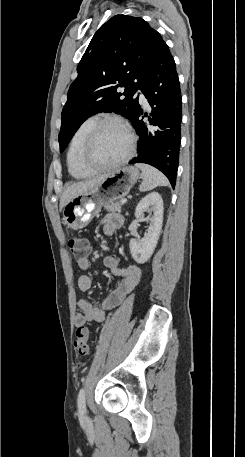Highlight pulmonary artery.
I'll use <instances>...</instances> for the list:
<instances>
[{"mask_svg": "<svg viewBox=\"0 0 245 457\" xmlns=\"http://www.w3.org/2000/svg\"><path fill=\"white\" fill-rule=\"evenodd\" d=\"M133 95L137 102L143 103V108H148V103H145L146 96L142 89H135Z\"/></svg>", "mask_w": 245, "mask_h": 457, "instance_id": "e3ab8cb5", "label": "pulmonary artery"}]
</instances>
